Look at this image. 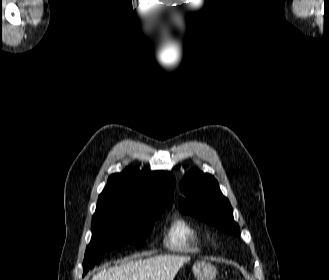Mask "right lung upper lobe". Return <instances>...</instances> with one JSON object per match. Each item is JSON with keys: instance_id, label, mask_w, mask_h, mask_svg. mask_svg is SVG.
I'll use <instances>...</instances> for the list:
<instances>
[{"instance_id": "obj_1", "label": "right lung upper lobe", "mask_w": 329, "mask_h": 280, "mask_svg": "<svg viewBox=\"0 0 329 280\" xmlns=\"http://www.w3.org/2000/svg\"><path fill=\"white\" fill-rule=\"evenodd\" d=\"M175 185L176 180L169 172H144L126 168L122 173L112 174L108 178L98 204L115 201L148 207L157 201L170 200Z\"/></svg>"}]
</instances>
